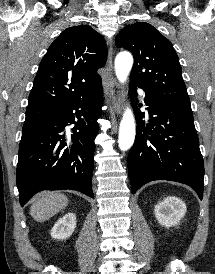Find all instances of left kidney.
Listing matches in <instances>:
<instances>
[{"mask_svg": "<svg viewBox=\"0 0 215 274\" xmlns=\"http://www.w3.org/2000/svg\"><path fill=\"white\" fill-rule=\"evenodd\" d=\"M186 211V205L177 197H166L154 209L157 221L165 227L178 225Z\"/></svg>", "mask_w": 215, "mask_h": 274, "instance_id": "left-kidney-1", "label": "left kidney"}]
</instances>
